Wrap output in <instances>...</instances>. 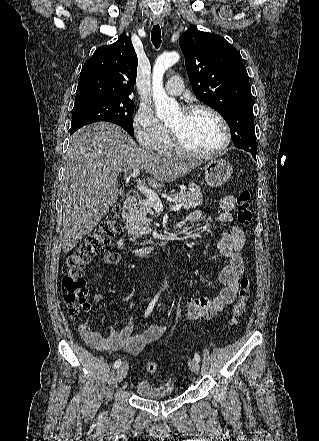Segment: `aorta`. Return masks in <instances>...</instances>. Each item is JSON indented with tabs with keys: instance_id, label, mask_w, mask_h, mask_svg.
Masks as SVG:
<instances>
[{
	"instance_id": "aorta-1",
	"label": "aorta",
	"mask_w": 319,
	"mask_h": 441,
	"mask_svg": "<svg viewBox=\"0 0 319 441\" xmlns=\"http://www.w3.org/2000/svg\"><path fill=\"white\" fill-rule=\"evenodd\" d=\"M180 56L177 52L165 53L159 56L154 64L152 73L153 100L156 115L162 121H168L178 112V103L170 98L163 87V75L165 71L178 62ZM167 286V282H166Z\"/></svg>"
}]
</instances>
